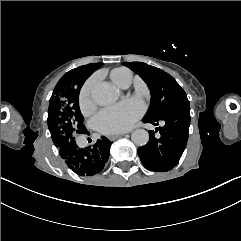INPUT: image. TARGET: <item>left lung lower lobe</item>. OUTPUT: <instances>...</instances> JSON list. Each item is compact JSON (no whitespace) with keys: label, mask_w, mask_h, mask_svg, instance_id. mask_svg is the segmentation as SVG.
Returning a JSON list of instances; mask_svg holds the SVG:
<instances>
[{"label":"left lung lower lobe","mask_w":241,"mask_h":241,"mask_svg":"<svg viewBox=\"0 0 241 241\" xmlns=\"http://www.w3.org/2000/svg\"><path fill=\"white\" fill-rule=\"evenodd\" d=\"M190 119L189 103L178 105L161 117L143 119L144 123L153 125H158L159 121L165 122L160 127V138L150 131L149 142L138 148V155L147 169L166 172L176 166L186 147Z\"/></svg>","instance_id":"0a47b994"}]
</instances>
